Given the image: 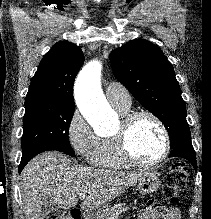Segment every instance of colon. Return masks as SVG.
<instances>
[{
    "label": "colon",
    "instance_id": "1",
    "mask_svg": "<svg viewBox=\"0 0 211 219\" xmlns=\"http://www.w3.org/2000/svg\"><path fill=\"white\" fill-rule=\"evenodd\" d=\"M187 172L188 169L184 162L176 161L171 165L167 183L163 188L164 196L170 204L178 203L182 196L186 185ZM48 219H81V212L72 210L69 213L51 216Z\"/></svg>",
    "mask_w": 211,
    "mask_h": 219
}]
</instances>
